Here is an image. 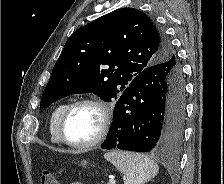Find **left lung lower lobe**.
<instances>
[{"label":"left lung lower lobe","instance_id":"1","mask_svg":"<svg viewBox=\"0 0 224 184\" xmlns=\"http://www.w3.org/2000/svg\"><path fill=\"white\" fill-rule=\"evenodd\" d=\"M175 59L139 73L122 92L103 149L169 153L183 137L185 83Z\"/></svg>","mask_w":224,"mask_h":184}]
</instances>
